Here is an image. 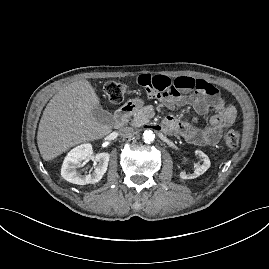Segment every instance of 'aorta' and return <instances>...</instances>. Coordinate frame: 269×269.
Here are the masks:
<instances>
[{"label":"aorta","instance_id":"762f6f07","mask_svg":"<svg viewBox=\"0 0 269 269\" xmlns=\"http://www.w3.org/2000/svg\"><path fill=\"white\" fill-rule=\"evenodd\" d=\"M154 139H155V134L153 131H151V130L144 131L143 140L145 143H148V144L152 143L154 141Z\"/></svg>","mask_w":269,"mask_h":269}]
</instances>
